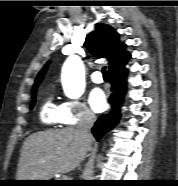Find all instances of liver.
Listing matches in <instances>:
<instances>
[{"label":"liver","instance_id":"1","mask_svg":"<svg viewBox=\"0 0 178 186\" xmlns=\"http://www.w3.org/2000/svg\"><path fill=\"white\" fill-rule=\"evenodd\" d=\"M92 142L93 138L83 136L77 127L31 134L21 149L17 180H50L57 173L74 170Z\"/></svg>","mask_w":178,"mask_h":186}]
</instances>
